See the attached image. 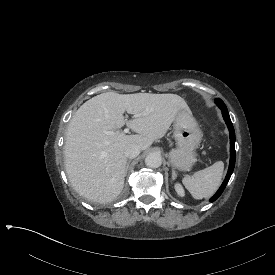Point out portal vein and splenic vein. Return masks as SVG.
I'll return each mask as SVG.
<instances>
[{
  "mask_svg": "<svg viewBox=\"0 0 275 275\" xmlns=\"http://www.w3.org/2000/svg\"><path fill=\"white\" fill-rule=\"evenodd\" d=\"M138 116H141V114L138 113ZM128 132H129V129H125V130H124V133H128ZM107 134H108V135H117L118 132H115V131H108Z\"/></svg>",
  "mask_w": 275,
  "mask_h": 275,
  "instance_id": "18ae733b",
  "label": "portal vein and splenic vein"
}]
</instances>
